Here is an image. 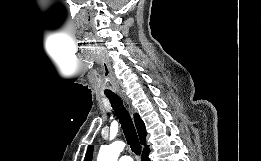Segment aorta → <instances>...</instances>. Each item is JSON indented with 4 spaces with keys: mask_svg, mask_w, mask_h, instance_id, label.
Segmentation results:
<instances>
[{
    "mask_svg": "<svg viewBox=\"0 0 261 161\" xmlns=\"http://www.w3.org/2000/svg\"><path fill=\"white\" fill-rule=\"evenodd\" d=\"M124 147L125 143L122 141H116L110 145H102L97 161H117Z\"/></svg>",
    "mask_w": 261,
    "mask_h": 161,
    "instance_id": "762f6f07",
    "label": "aorta"
}]
</instances>
